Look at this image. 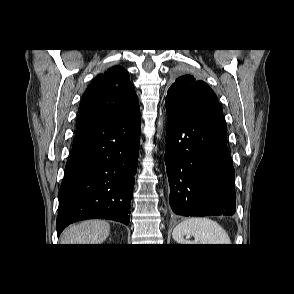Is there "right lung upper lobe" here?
<instances>
[{
	"label": "right lung upper lobe",
	"mask_w": 294,
	"mask_h": 294,
	"mask_svg": "<svg viewBox=\"0 0 294 294\" xmlns=\"http://www.w3.org/2000/svg\"><path fill=\"white\" fill-rule=\"evenodd\" d=\"M138 101L129 74L113 66L95 78L86 89L78 111L77 125L111 118Z\"/></svg>",
	"instance_id": "right-lung-upper-lobe-1"
}]
</instances>
